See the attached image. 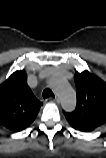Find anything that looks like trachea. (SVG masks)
I'll use <instances>...</instances> for the list:
<instances>
[{"label": "trachea", "mask_w": 106, "mask_h": 158, "mask_svg": "<svg viewBox=\"0 0 106 158\" xmlns=\"http://www.w3.org/2000/svg\"><path fill=\"white\" fill-rule=\"evenodd\" d=\"M43 99L54 97V93L50 89H45L42 93Z\"/></svg>", "instance_id": "3493384b"}]
</instances>
